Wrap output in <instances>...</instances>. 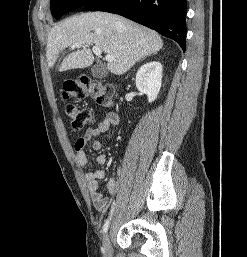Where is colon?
I'll use <instances>...</instances> for the list:
<instances>
[{
  "mask_svg": "<svg viewBox=\"0 0 247 257\" xmlns=\"http://www.w3.org/2000/svg\"><path fill=\"white\" fill-rule=\"evenodd\" d=\"M63 97L77 102L90 97L98 104L109 107L112 104V89L107 84L85 77L66 81L63 85ZM66 113L71 126L77 131L86 129L94 122L93 113L77 104L69 103Z\"/></svg>",
  "mask_w": 247,
  "mask_h": 257,
  "instance_id": "obj_1",
  "label": "colon"
}]
</instances>
